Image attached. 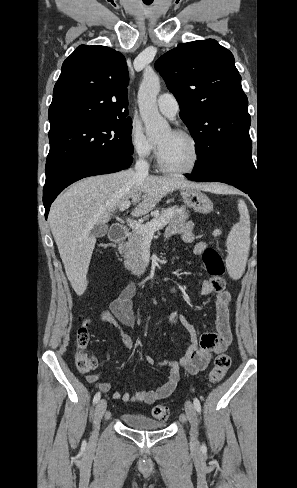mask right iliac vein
Instances as JSON below:
<instances>
[{
	"label": "right iliac vein",
	"instance_id": "63e3f726",
	"mask_svg": "<svg viewBox=\"0 0 297 488\" xmlns=\"http://www.w3.org/2000/svg\"><path fill=\"white\" fill-rule=\"evenodd\" d=\"M106 408H107L106 400L102 399L97 403V406L95 408L94 420H93V431L91 435L92 445H94L97 440L100 421L106 411Z\"/></svg>",
	"mask_w": 297,
	"mask_h": 488
}]
</instances>
